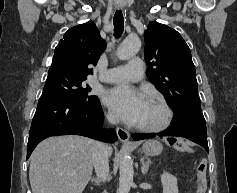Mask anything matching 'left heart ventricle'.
<instances>
[{
	"label": "left heart ventricle",
	"instance_id": "b2bd125f",
	"mask_svg": "<svg viewBox=\"0 0 237 193\" xmlns=\"http://www.w3.org/2000/svg\"><path fill=\"white\" fill-rule=\"evenodd\" d=\"M163 118L162 109L153 101L148 100L142 111L139 125H154L158 124Z\"/></svg>",
	"mask_w": 237,
	"mask_h": 193
}]
</instances>
